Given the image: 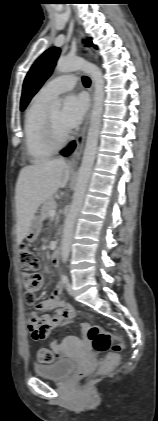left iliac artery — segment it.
<instances>
[{"mask_svg":"<svg viewBox=\"0 0 158 421\" xmlns=\"http://www.w3.org/2000/svg\"><path fill=\"white\" fill-rule=\"evenodd\" d=\"M61 281H62L63 284L68 283V277L65 274H63L62 277H61Z\"/></svg>","mask_w":158,"mask_h":421,"instance_id":"1","label":"left iliac artery"}]
</instances>
